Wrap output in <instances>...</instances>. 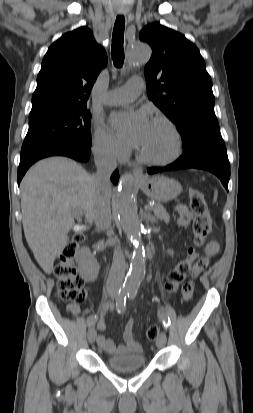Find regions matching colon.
<instances>
[{"label":"colon","mask_w":253,"mask_h":413,"mask_svg":"<svg viewBox=\"0 0 253 413\" xmlns=\"http://www.w3.org/2000/svg\"><path fill=\"white\" fill-rule=\"evenodd\" d=\"M190 208L194 215L193 232L194 246L191 247L183 259H181L168 273L164 288L168 294H174L182 285L186 275L191 272L192 265L198 257V249L204 246L210 232V219L204 193L199 189H192L190 193ZM85 237L77 234L65 245L60 260L54 267V275L57 277V289L59 297L71 304H79L86 298V290L83 279L78 275L75 266V257L79 246ZM157 326H150L146 331V338L153 341L158 337Z\"/></svg>","instance_id":"obj_1"}]
</instances>
